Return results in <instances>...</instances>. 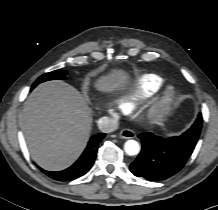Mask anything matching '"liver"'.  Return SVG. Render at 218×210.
<instances>
[{
  "instance_id": "6515ba94",
  "label": "liver",
  "mask_w": 218,
  "mask_h": 210,
  "mask_svg": "<svg viewBox=\"0 0 218 210\" xmlns=\"http://www.w3.org/2000/svg\"><path fill=\"white\" fill-rule=\"evenodd\" d=\"M128 81L122 70L99 77L94 88L112 93ZM92 114L85 98L63 81L35 88L24 104L22 127L32 159L42 168L59 171L74 163L90 137Z\"/></svg>"
}]
</instances>
